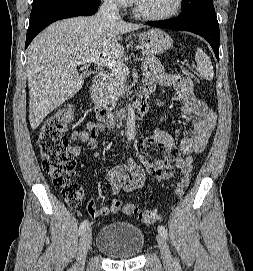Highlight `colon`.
I'll use <instances>...</instances> for the list:
<instances>
[{
	"label": "colon",
	"instance_id": "1",
	"mask_svg": "<svg viewBox=\"0 0 253 271\" xmlns=\"http://www.w3.org/2000/svg\"><path fill=\"white\" fill-rule=\"evenodd\" d=\"M192 76L189 70H185ZM74 119V109L67 105L54 112L42 125L37 138V145L42 159V168L55 186L62 189L63 197L73 208L81 205L83 192L80 186L71 181L75 173V160L68 152L66 132ZM190 183V175H184L177 185V195L181 196ZM91 207V203L88 204ZM112 212L122 211L126 215H136L142 223L154 224L159 215L155 210H141L132 203L123 204L113 200L110 207Z\"/></svg>",
	"mask_w": 253,
	"mask_h": 271
}]
</instances>
